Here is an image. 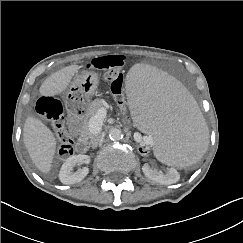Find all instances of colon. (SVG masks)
<instances>
[{"instance_id":"5ec220e1","label":"colon","mask_w":243,"mask_h":243,"mask_svg":"<svg viewBox=\"0 0 243 243\" xmlns=\"http://www.w3.org/2000/svg\"><path fill=\"white\" fill-rule=\"evenodd\" d=\"M125 63L126 58L123 55L101 56L93 59L87 65V69L104 72V80L110 83L111 91L117 99L116 109L120 123L125 129H131L134 126V121L127 109V101L123 98L122 69ZM37 110L51 123L58 134L60 158L72 156L75 152V143L65 128L61 102L52 96H43L37 102Z\"/></svg>"}]
</instances>
